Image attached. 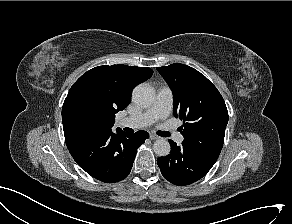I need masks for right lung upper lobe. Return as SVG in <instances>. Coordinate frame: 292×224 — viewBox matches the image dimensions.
Segmentation results:
<instances>
[{
    "label": "right lung upper lobe",
    "mask_w": 292,
    "mask_h": 224,
    "mask_svg": "<svg viewBox=\"0 0 292 224\" xmlns=\"http://www.w3.org/2000/svg\"><path fill=\"white\" fill-rule=\"evenodd\" d=\"M152 74L153 70L147 67L98 66L87 71L74 83L65 101L76 93L90 94L105 108L110 121L107 130L111 131L115 114L128 106L132 90ZM69 131L71 130L64 127V133Z\"/></svg>",
    "instance_id": "obj_1"
}]
</instances>
